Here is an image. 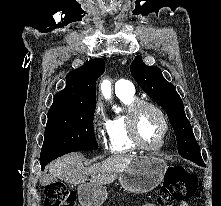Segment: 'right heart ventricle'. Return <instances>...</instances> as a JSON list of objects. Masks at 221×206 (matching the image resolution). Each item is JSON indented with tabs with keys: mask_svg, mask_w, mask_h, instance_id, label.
<instances>
[{
	"mask_svg": "<svg viewBox=\"0 0 221 206\" xmlns=\"http://www.w3.org/2000/svg\"><path fill=\"white\" fill-rule=\"evenodd\" d=\"M116 95L126 108V112L108 120L106 123V129L110 151L112 153L121 154L137 149L130 138L127 124L128 109L135 101H137V98L134 93L116 92Z\"/></svg>",
	"mask_w": 221,
	"mask_h": 206,
	"instance_id": "1",
	"label": "right heart ventricle"
}]
</instances>
